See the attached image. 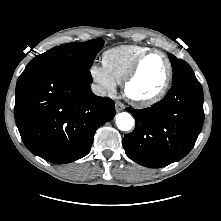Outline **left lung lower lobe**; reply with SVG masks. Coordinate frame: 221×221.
Returning a JSON list of instances; mask_svg holds the SVG:
<instances>
[{
	"label": "left lung lower lobe",
	"instance_id": "1",
	"mask_svg": "<svg viewBox=\"0 0 221 221\" xmlns=\"http://www.w3.org/2000/svg\"><path fill=\"white\" fill-rule=\"evenodd\" d=\"M127 110L136 126L123 138L126 155L145 167H164L184 158L197 140L204 121L202 86L196 77L185 78L151 107Z\"/></svg>",
	"mask_w": 221,
	"mask_h": 221
}]
</instances>
